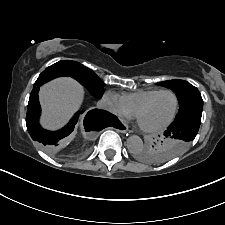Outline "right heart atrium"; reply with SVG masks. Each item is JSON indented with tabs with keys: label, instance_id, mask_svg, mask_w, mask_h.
Instances as JSON below:
<instances>
[{
	"label": "right heart atrium",
	"instance_id": "right-heart-atrium-1",
	"mask_svg": "<svg viewBox=\"0 0 225 225\" xmlns=\"http://www.w3.org/2000/svg\"><path fill=\"white\" fill-rule=\"evenodd\" d=\"M105 102L108 109L119 116L130 117L132 114L126 108L122 98L113 91H108L104 95Z\"/></svg>",
	"mask_w": 225,
	"mask_h": 225
}]
</instances>
